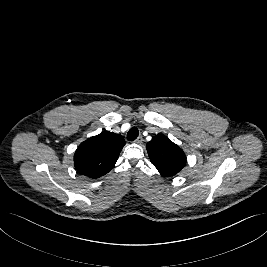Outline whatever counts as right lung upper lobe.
Here are the masks:
<instances>
[{
    "mask_svg": "<svg viewBox=\"0 0 267 267\" xmlns=\"http://www.w3.org/2000/svg\"><path fill=\"white\" fill-rule=\"evenodd\" d=\"M124 145L125 140L121 135L103 131L78 146L74 165L81 174L99 178L114 167Z\"/></svg>",
    "mask_w": 267,
    "mask_h": 267,
    "instance_id": "obj_1",
    "label": "right lung upper lobe"
}]
</instances>
